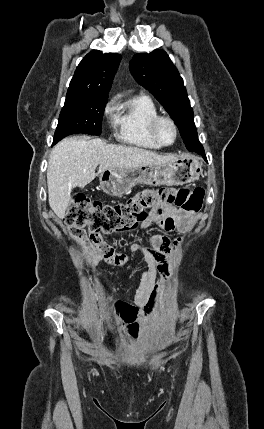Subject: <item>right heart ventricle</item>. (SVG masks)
Here are the masks:
<instances>
[{"label": "right heart ventricle", "instance_id": "obj_1", "mask_svg": "<svg viewBox=\"0 0 264 429\" xmlns=\"http://www.w3.org/2000/svg\"><path fill=\"white\" fill-rule=\"evenodd\" d=\"M159 115L154 101L145 94L133 97L119 108L115 119V137L124 144L158 150L162 146L150 135V122Z\"/></svg>", "mask_w": 264, "mask_h": 429}]
</instances>
